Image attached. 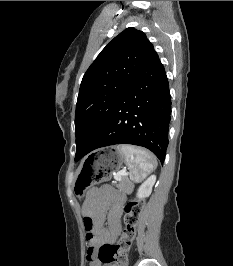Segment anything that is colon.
I'll list each match as a JSON object with an SVG mask.
<instances>
[{"mask_svg": "<svg viewBox=\"0 0 233 266\" xmlns=\"http://www.w3.org/2000/svg\"><path fill=\"white\" fill-rule=\"evenodd\" d=\"M142 209L143 202L140 199H134L127 203L124 219L126 227L118 242L114 245H101L97 250V255L102 265L114 263V266H127V252L135 237V230ZM84 223L87 228L91 227L90 218L85 217Z\"/></svg>", "mask_w": 233, "mask_h": 266, "instance_id": "colon-1", "label": "colon"}]
</instances>
